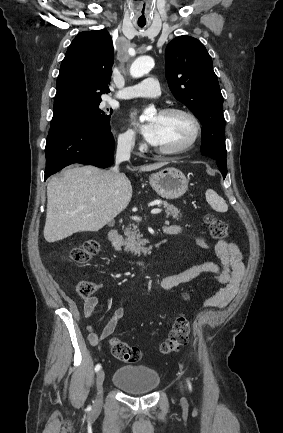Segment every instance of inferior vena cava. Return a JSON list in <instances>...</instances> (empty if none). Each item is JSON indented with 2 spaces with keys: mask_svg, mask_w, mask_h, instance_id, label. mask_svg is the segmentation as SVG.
Listing matches in <instances>:
<instances>
[{
  "mask_svg": "<svg viewBox=\"0 0 283 433\" xmlns=\"http://www.w3.org/2000/svg\"><path fill=\"white\" fill-rule=\"evenodd\" d=\"M134 144L133 138H123V140H118L117 152H116V166L112 168L116 178H118L119 172V162L123 160H129L130 150Z\"/></svg>",
  "mask_w": 283,
  "mask_h": 433,
  "instance_id": "1",
  "label": "inferior vena cava"
}]
</instances>
